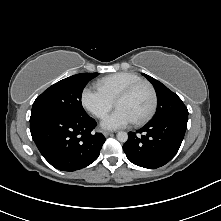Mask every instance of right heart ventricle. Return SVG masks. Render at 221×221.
<instances>
[{"label":"right heart ventricle","mask_w":221,"mask_h":221,"mask_svg":"<svg viewBox=\"0 0 221 221\" xmlns=\"http://www.w3.org/2000/svg\"><path fill=\"white\" fill-rule=\"evenodd\" d=\"M143 80L140 75L134 72H119L97 81L98 89L108 98L115 102L118 95L129 85Z\"/></svg>","instance_id":"right-heart-ventricle-1"}]
</instances>
